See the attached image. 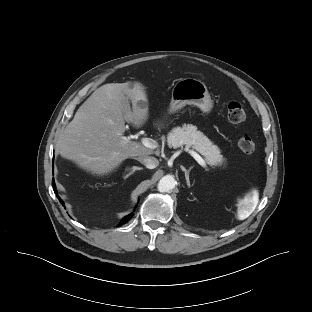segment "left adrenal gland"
<instances>
[{"instance_id": "1", "label": "left adrenal gland", "mask_w": 312, "mask_h": 312, "mask_svg": "<svg viewBox=\"0 0 312 312\" xmlns=\"http://www.w3.org/2000/svg\"><path fill=\"white\" fill-rule=\"evenodd\" d=\"M181 169L185 173L187 185L190 187L189 173H190V170L192 169V167H190L189 170H186L185 167L181 166Z\"/></svg>"}]
</instances>
